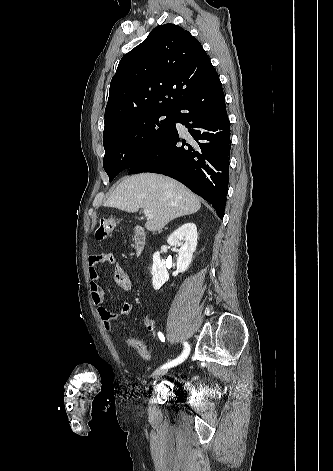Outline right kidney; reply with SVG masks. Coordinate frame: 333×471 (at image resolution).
Wrapping results in <instances>:
<instances>
[{
    "mask_svg": "<svg viewBox=\"0 0 333 471\" xmlns=\"http://www.w3.org/2000/svg\"><path fill=\"white\" fill-rule=\"evenodd\" d=\"M197 227L194 223H186L174 231L168 238L167 242L171 246L180 247L177 258V269L173 272V276L185 272L193 257V253L197 246ZM152 285L155 290H159L163 284L169 279V274L160 260V253L155 252L153 255L152 265Z\"/></svg>",
    "mask_w": 333,
    "mask_h": 471,
    "instance_id": "right-kidney-1",
    "label": "right kidney"
}]
</instances>
